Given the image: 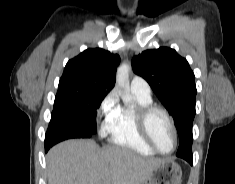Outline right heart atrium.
I'll return each mask as SVG.
<instances>
[{
    "mask_svg": "<svg viewBox=\"0 0 235 184\" xmlns=\"http://www.w3.org/2000/svg\"><path fill=\"white\" fill-rule=\"evenodd\" d=\"M119 109L120 104L116 91L109 92L100 102L94 118L96 132L100 138L111 133Z\"/></svg>",
    "mask_w": 235,
    "mask_h": 184,
    "instance_id": "right-heart-atrium-1",
    "label": "right heart atrium"
}]
</instances>
